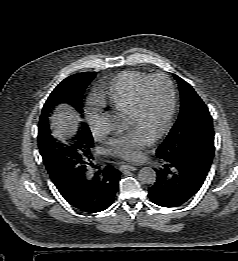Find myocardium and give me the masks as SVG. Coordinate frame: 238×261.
<instances>
[{
	"instance_id": "myocardium-1",
	"label": "myocardium",
	"mask_w": 238,
	"mask_h": 261,
	"mask_svg": "<svg viewBox=\"0 0 238 261\" xmlns=\"http://www.w3.org/2000/svg\"><path fill=\"white\" fill-rule=\"evenodd\" d=\"M156 80H162L168 90L169 94V109L166 118L159 128V130L153 135V140L160 139L171 127L177 108V92L172 79L164 73H156L149 75L139 86L135 101L132 107L129 109V113L135 116H139L144 107V99L148 86Z\"/></svg>"
}]
</instances>
